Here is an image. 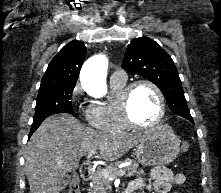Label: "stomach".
<instances>
[{
    "label": "stomach",
    "mask_w": 221,
    "mask_h": 193,
    "mask_svg": "<svg viewBox=\"0 0 221 193\" xmlns=\"http://www.w3.org/2000/svg\"><path fill=\"white\" fill-rule=\"evenodd\" d=\"M180 142L169 126L161 125L137 145L136 157L145 166L169 164L176 159Z\"/></svg>",
    "instance_id": "obj_1"
}]
</instances>
